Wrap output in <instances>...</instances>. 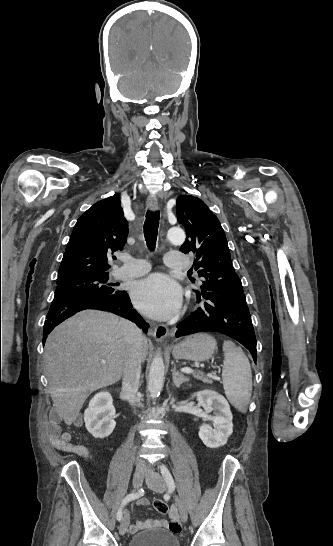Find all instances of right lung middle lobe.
<instances>
[{
  "mask_svg": "<svg viewBox=\"0 0 333 546\" xmlns=\"http://www.w3.org/2000/svg\"><path fill=\"white\" fill-rule=\"evenodd\" d=\"M108 273L75 275L57 279L55 297L75 294H105L112 295L116 289L108 284Z\"/></svg>",
  "mask_w": 333,
  "mask_h": 546,
  "instance_id": "1",
  "label": "right lung middle lobe"
}]
</instances>
